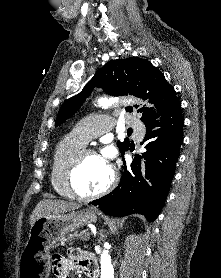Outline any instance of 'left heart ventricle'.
<instances>
[{
    "label": "left heart ventricle",
    "mask_w": 221,
    "mask_h": 278,
    "mask_svg": "<svg viewBox=\"0 0 221 278\" xmlns=\"http://www.w3.org/2000/svg\"><path fill=\"white\" fill-rule=\"evenodd\" d=\"M110 176L109 163L99 154H92L82 161L76 181L83 193H93L105 187Z\"/></svg>",
    "instance_id": "b2bd125f"
}]
</instances>
